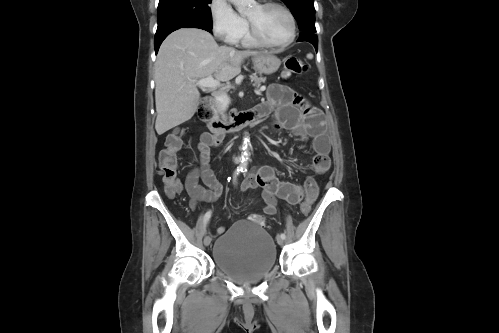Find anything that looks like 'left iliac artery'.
<instances>
[{"label": "left iliac artery", "instance_id": "44dca946", "mask_svg": "<svg viewBox=\"0 0 499 333\" xmlns=\"http://www.w3.org/2000/svg\"><path fill=\"white\" fill-rule=\"evenodd\" d=\"M243 172H245V173H246V172H247V169H244V171H243ZM280 236H281V238H283V239H285V238H286L285 233H281V235H280Z\"/></svg>", "mask_w": 499, "mask_h": 333}]
</instances>
